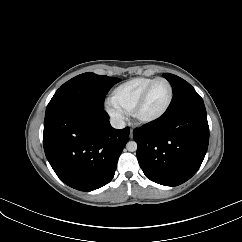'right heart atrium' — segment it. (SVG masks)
<instances>
[{
    "instance_id": "1",
    "label": "right heart atrium",
    "mask_w": 242,
    "mask_h": 242,
    "mask_svg": "<svg viewBox=\"0 0 242 242\" xmlns=\"http://www.w3.org/2000/svg\"><path fill=\"white\" fill-rule=\"evenodd\" d=\"M106 109L111 117L116 121H123L126 118L125 113L113 105V103H106Z\"/></svg>"
}]
</instances>
